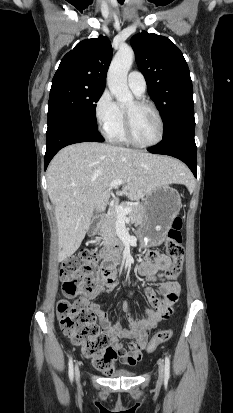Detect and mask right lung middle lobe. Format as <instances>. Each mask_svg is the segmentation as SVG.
Wrapping results in <instances>:
<instances>
[{"mask_svg": "<svg viewBox=\"0 0 233 413\" xmlns=\"http://www.w3.org/2000/svg\"><path fill=\"white\" fill-rule=\"evenodd\" d=\"M103 88L73 82L52 84L48 123L55 119H72L97 129L96 103Z\"/></svg>", "mask_w": 233, "mask_h": 413, "instance_id": "right-lung-middle-lobe-1", "label": "right lung middle lobe"}]
</instances>
